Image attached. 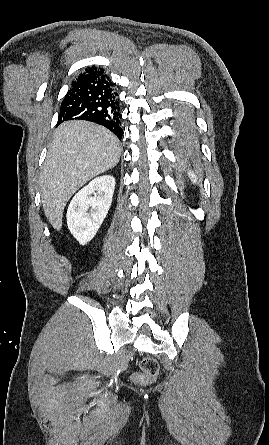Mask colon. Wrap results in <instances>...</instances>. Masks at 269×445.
<instances>
[{
    "instance_id": "5ec220e1",
    "label": "colon",
    "mask_w": 269,
    "mask_h": 445,
    "mask_svg": "<svg viewBox=\"0 0 269 445\" xmlns=\"http://www.w3.org/2000/svg\"><path fill=\"white\" fill-rule=\"evenodd\" d=\"M141 372L133 376L137 383H147L152 381L159 372L158 362L151 357H145L140 362Z\"/></svg>"
}]
</instances>
